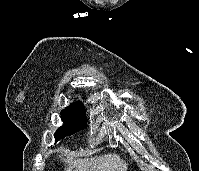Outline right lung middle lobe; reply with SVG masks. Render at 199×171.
Segmentation results:
<instances>
[{"mask_svg": "<svg viewBox=\"0 0 199 171\" xmlns=\"http://www.w3.org/2000/svg\"><path fill=\"white\" fill-rule=\"evenodd\" d=\"M63 126L55 132V141L70 136L83 129L87 124L84 105H70L61 111Z\"/></svg>", "mask_w": 199, "mask_h": 171, "instance_id": "dd1d6c3e", "label": "right lung middle lobe"}]
</instances>
